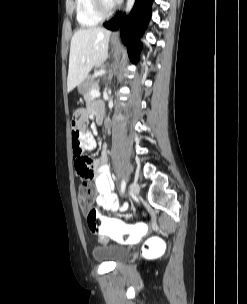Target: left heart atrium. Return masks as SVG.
I'll return each mask as SVG.
<instances>
[{
	"mask_svg": "<svg viewBox=\"0 0 247 304\" xmlns=\"http://www.w3.org/2000/svg\"><path fill=\"white\" fill-rule=\"evenodd\" d=\"M114 3H116V2H118V1H120V0H112Z\"/></svg>",
	"mask_w": 247,
	"mask_h": 304,
	"instance_id": "39dd6f15",
	"label": "left heart atrium"
}]
</instances>
